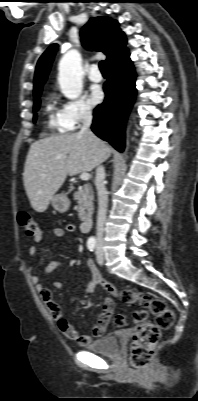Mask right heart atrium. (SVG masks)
Wrapping results in <instances>:
<instances>
[{
	"instance_id": "d8ad5b80",
	"label": "right heart atrium",
	"mask_w": 198,
	"mask_h": 401,
	"mask_svg": "<svg viewBox=\"0 0 198 401\" xmlns=\"http://www.w3.org/2000/svg\"><path fill=\"white\" fill-rule=\"evenodd\" d=\"M58 113L68 131L76 130L94 117L93 107L82 98L63 101Z\"/></svg>"
}]
</instances>
